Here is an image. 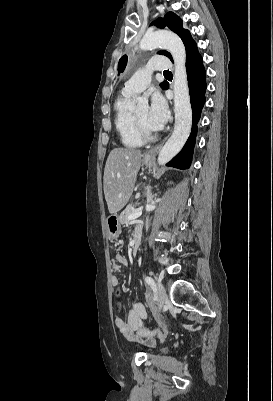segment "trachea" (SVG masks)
<instances>
[{"mask_svg":"<svg viewBox=\"0 0 273 401\" xmlns=\"http://www.w3.org/2000/svg\"><path fill=\"white\" fill-rule=\"evenodd\" d=\"M164 73H171V72H169V70H164Z\"/></svg>","mask_w":273,"mask_h":401,"instance_id":"obj_1","label":"trachea"}]
</instances>
